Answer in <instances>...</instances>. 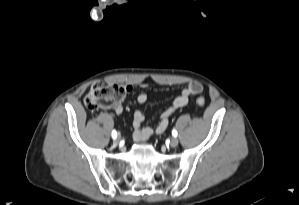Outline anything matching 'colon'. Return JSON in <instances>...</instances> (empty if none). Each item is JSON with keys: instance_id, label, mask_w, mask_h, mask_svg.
I'll return each instance as SVG.
<instances>
[{"instance_id": "colon-1", "label": "colon", "mask_w": 299, "mask_h": 205, "mask_svg": "<svg viewBox=\"0 0 299 205\" xmlns=\"http://www.w3.org/2000/svg\"><path fill=\"white\" fill-rule=\"evenodd\" d=\"M127 93L126 86L105 81L95 82L84 99V104L89 110L118 105ZM199 107H204L205 100L202 96L196 98Z\"/></svg>"}]
</instances>
